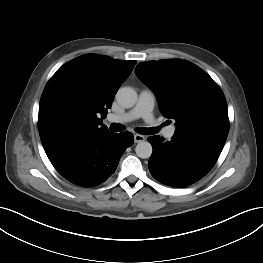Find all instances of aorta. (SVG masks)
I'll return each instance as SVG.
<instances>
[{"mask_svg": "<svg viewBox=\"0 0 263 263\" xmlns=\"http://www.w3.org/2000/svg\"><path fill=\"white\" fill-rule=\"evenodd\" d=\"M117 102L125 108H131L137 102V93L131 87H122L116 94ZM152 145L147 141H141L136 145L135 152L139 158L147 159L152 155Z\"/></svg>", "mask_w": 263, "mask_h": 263, "instance_id": "aorta-1", "label": "aorta"}]
</instances>
